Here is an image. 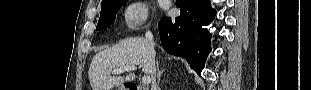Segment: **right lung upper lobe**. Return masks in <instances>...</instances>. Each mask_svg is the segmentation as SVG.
Returning a JSON list of instances; mask_svg holds the SVG:
<instances>
[{
    "mask_svg": "<svg viewBox=\"0 0 311 90\" xmlns=\"http://www.w3.org/2000/svg\"><path fill=\"white\" fill-rule=\"evenodd\" d=\"M107 1H110V0H102V4H103V3H106Z\"/></svg>",
    "mask_w": 311,
    "mask_h": 90,
    "instance_id": "cb5924a9",
    "label": "right lung upper lobe"
}]
</instances>
